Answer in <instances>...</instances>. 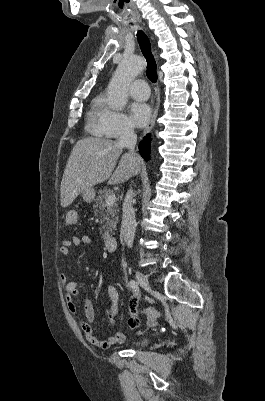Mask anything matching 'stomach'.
Here are the masks:
<instances>
[{
	"mask_svg": "<svg viewBox=\"0 0 265 401\" xmlns=\"http://www.w3.org/2000/svg\"><path fill=\"white\" fill-rule=\"evenodd\" d=\"M82 196L84 198V201H86V203H92L93 198L95 196V190L94 188H87V190H83L82 192Z\"/></svg>",
	"mask_w": 265,
	"mask_h": 401,
	"instance_id": "1",
	"label": "stomach"
}]
</instances>
